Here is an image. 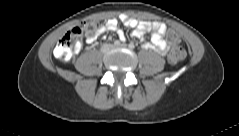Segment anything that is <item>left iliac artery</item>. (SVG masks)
<instances>
[{"instance_id":"left-iliac-artery-1","label":"left iliac artery","mask_w":239,"mask_h":136,"mask_svg":"<svg viewBox=\"0 0 239 136\" xmlns=\"http://www.w3.org/2000/svg\"><path fill=\"white\" fill-rule=\"evenodd\" d=\"M134 47H135V46H134L133 43H130V44H129V48L133 49Z\"/></svg>"}]
</instances>
